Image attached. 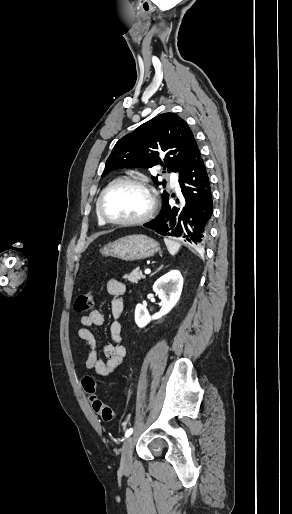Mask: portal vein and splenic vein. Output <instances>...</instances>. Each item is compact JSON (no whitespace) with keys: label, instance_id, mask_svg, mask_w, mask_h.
<instances>
[{"label":"portal vein and splenic vein","instance_id":"18ae733b","mask_svg":"<svg viewBox=\"0 0 292 514\" xmlns=\"http://www.w3.org/2000/svg\"><path fill=\"white\" fill-rule=\"evenodd\" d=\"M151 270H145V274H150Z\"/></svg>","mask_w":292,"mask_h":514}]
</instances>
